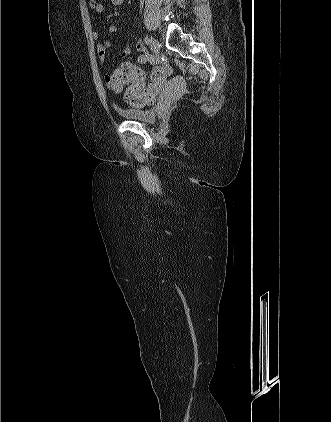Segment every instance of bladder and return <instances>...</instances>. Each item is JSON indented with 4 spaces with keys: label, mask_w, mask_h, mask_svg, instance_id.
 Listing matches in <instances>:
<instances>
[{
    "label": "bladder",
    "mask_w": 331,
    "mask_h": 422,
    "mask_svg": "<svg viewBox=\"0 0 331 422\" xmlns=\"http://www.w3.org/2000/svg\"><path fill=\"white\" fill-rule=\"evenodd\" d=\"M120 113L127 119L137 122H151L158 114V107L153 106L146 109L127 108L120 110Z\"/></svg>",
    "instance_id": "obj_1"
}]
</instances>
